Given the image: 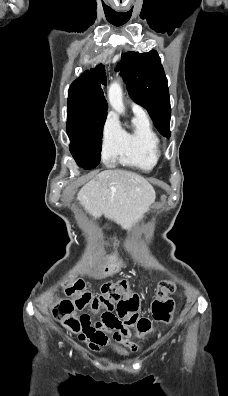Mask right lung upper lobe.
I'll return each instance as SVG.
<instances>
[{"label": "right lung upper lobe", "mask_w": 228, "mask_h": 396, "mask_svg": "<svg viewBox=\"0 0 228 396\" xmlns=\"http://www.w3.org/2000/svg\"><path fill=\"white\" fill-rule=\"evenodd\" d=\"M106 83L105 66L102 64L83 72L69 88L68 106L83 114L107 111L108 105L101 89Z\"/></svg>", "instance_id": "cb5924a9"}]
</instances>
